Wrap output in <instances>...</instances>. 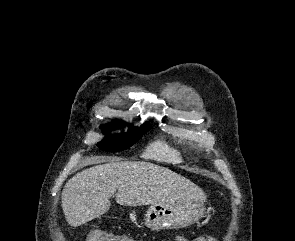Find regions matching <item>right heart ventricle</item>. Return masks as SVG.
<instances>
[{
  "mask_svg": "<svg viewBox=\"0 0 295 241\" xmlns=\"http://www.w3.org/2000/svg\"><path fill=\"white\" fill-rule=\"evenodd\" d=\"M145 156L171 164H178L183 160L181 153L177 149L170 147L164 142L153 143L146 150Z\"/></svg>",
  "mask_w": 295,
  "mask_h": 241,
  "instance_id": "1",
  "label": "right heart ventricle"
}]
</instances>
